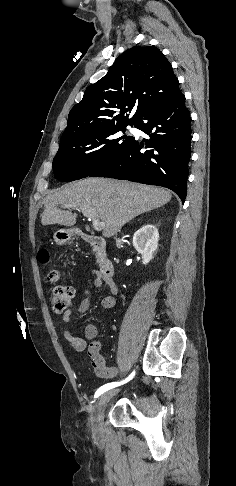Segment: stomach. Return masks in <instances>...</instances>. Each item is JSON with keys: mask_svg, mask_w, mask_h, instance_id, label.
<instances>
[{"mask_svg": "<svg viewBox=\"0 0 236 486\" xmlns=\"http://www.w3.org/2000/svg\"><path fill=\"white\" fill-rule=\"evenodd\" d=\"M75 237L73 229H58L54 232L53 239L57 245L70 244Z\"/></svg>", "mask_w": 236, "mask_h": 486, "instance_id": "0dacf381", "label": "stomach"}]
</instances>
